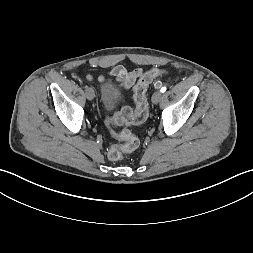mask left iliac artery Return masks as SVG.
I'll use <instances>...</instances> for the list:
<instances>
[{
    "mask_svg": "<svg viewBox=\"0 0 253 253\" xmlns=\"http://www.w3.org/2000/svg\"><path fill=\"white\" fill-rule=\"evenodd\" d=\"M160 91H161L162 93H164V92L166 91V87H162V88L160 89Z\"/></svg>",
    "mask_w": 253,
    "mask_h": 253,
    "instance_id": "1",
    "label": "left iliac artery"
}]
</instances>
